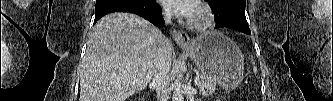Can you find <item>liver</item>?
<instances>
[{
	"mask_svg": "<svg viewBox=\"0 0 333 101\" xmlns=\"http://www.w3.org/2000/svg\"><path fill=\"white\" fill-rule=\"evenodd\" d=\"M165 37L147 20L112 13L96 23L80 70V101H126L154 73Z\"/></svg>",
	"mask_w": 333,
	"mask_h": 101,
	"instance_id": "1",
	"label": "liver"
}]
</instances>
